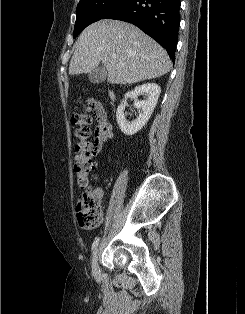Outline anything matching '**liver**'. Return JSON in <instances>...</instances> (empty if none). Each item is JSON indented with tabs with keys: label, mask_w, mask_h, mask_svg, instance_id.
Instances as JSON below:
<instances>
[{
	"label": "liver",
	"mask_w": 245,
	"mask_h": 314,
	"mask_svg": "<svg viewBox=\"0 0 245 314\" xmlns=\"http://www.w3.org/2000/svg\"><path fill=\"white\" fill-rule=\"evenodd\" d=\"M100 62L110 84H133L161 77L172 66L166 50L150 36L130 23L112 19L95 22L81 33L69 74L90 73Z\"/></svg>",
	"instance_id": "6515ba94"
}]
</instances>
